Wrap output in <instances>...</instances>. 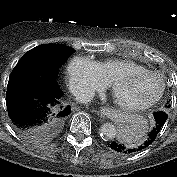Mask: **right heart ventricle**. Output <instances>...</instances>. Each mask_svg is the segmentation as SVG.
Wrapping results in <instances>:
<instances>
[{
	"instance_id": "right-heart-ventricle-1",
	"label": "right heart ventricle",
	"mask_w": 177,
	"mask_h": 177,
	"mask_svg": "<svg viewBox=\"0 0 177 177\" xmlns=\"http://www.w3.org/2000/svg\"><path fill=\"white\" fill-rule=\"evenodd\" d=\"M94 63L106 83H111L115 77L126 72L146 70L144 66L129 59L112 58Z\"/></svg>"
}]
</instances>
